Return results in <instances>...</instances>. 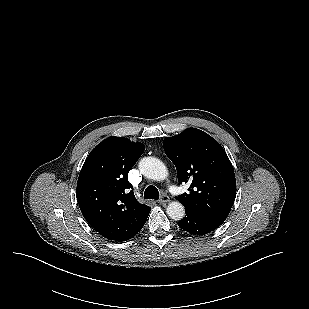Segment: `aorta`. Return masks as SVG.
<instances>
[{"mask_svg": "<svg viewBox=\"0 0 309 309\" xmlns=\"http://www.w3.org/2000/svg\"><path fill=\"white\" fill-rule=\"evenodd\" d=\"M140 172L147 178L162 181L168 176L167 167L162 161L154 157H144L139 162ZM167 215L176 221L181 220L185 216V208L182 203L173 201L168 204L166 209Z\"/></svg>", "mask_w": 309, "mask_h": 309, "instance_id": "obj_1", "label": "aorta"}]
</instances>
